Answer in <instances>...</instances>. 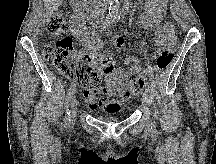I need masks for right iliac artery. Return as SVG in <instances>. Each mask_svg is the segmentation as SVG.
Returning a JSON list of instances; mask_svg holds the SVG:
<instances>
[{
    "label": "right iliac artery",
    "mask_w": 216,
    "mask_h": 164,
    "mask_svg": "<svg viewBox=\"0 0 216 164\" xmlns=\"http://www.w3.org/2000/svg\"><path fill=\"white\" fill-rule=\"evenodd\" d=\"M115 22V19L113 18H108L104 25L102 26V30H105L108 26L112 25L113 23ZM76 91V85L75 84H72L71 87L69 88L68 90V94H69V97L71 98L72 95L75 93ZM69 121H70V111L69 109H67V112H66V116H65V119H64V127H67L69 125Z\"/></svg>",
    "instance_id": "right-iliac-artery-1"
}]
</instances>
